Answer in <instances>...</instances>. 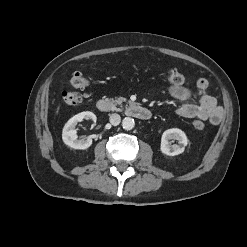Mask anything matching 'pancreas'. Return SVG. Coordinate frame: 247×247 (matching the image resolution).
I'll return each instance as SVG.
<instances>
[{
    "instance_id": "pancreas-1",
    "label": "pancreas",
    "mask_w": 247,
    "mask_h": 247,
    "mask_svg": "<svg viewBox=\"0 0 247 247\" xmlns=\"http://www.w3.org/2000/svg\"><path fill=\"white\" fill-rule=\"evenodd\" d=\"M126 101V98L124 97H117L115 99H112V102L113 104L116 106V105H119L120 107H122V103ZM115 110L117 111H120L121 109L120 108H115Z\"/></svg>"
}]
</instances>
